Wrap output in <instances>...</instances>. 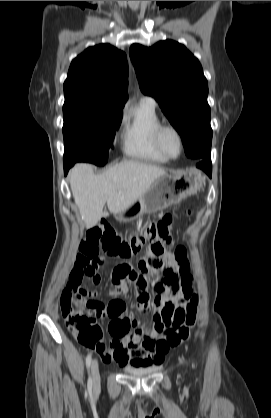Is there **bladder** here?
Listing matches in <instances>:
<instances>
[{"instance_id": "obj_1", "label": "bladder", "mask_w": 271, "mask_h": 418, "mask_svg": "<svg viewBox=\"0 0 271 418\" xmlns=\"http://www.w3.org/2000/svg\"><path fill=\"white\" fill-rule=\"evenodd\" d=\"M158 370V367H149V368H127L126 373L134 376H145L151 374Z\"/></svg>"}]
</instances>
